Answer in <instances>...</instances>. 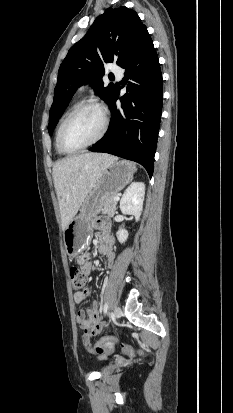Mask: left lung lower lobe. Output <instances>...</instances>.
Returning a JSON list of instances; mask_svg holds the SVG:
<instances>
[{"label":"left lung lower lobe","instance_id":"0a47b994","mask_svg":"<svg viewBox=\"0 0 233 413\" xmlns=\"http://www.w3.org/2000/svg\"><path fill=\"white\" fill-rule=\"evenodd\" d=\"M120 67L126 70L122 84L127 93L120 98L121 108H117L118 95L114 91L108 103L111 124L104 137L89 150L138 162L152 177L162 113L163 81L149 33Z\"/></svg>","mask_w":233,"mask_h":413}]
</instances>
